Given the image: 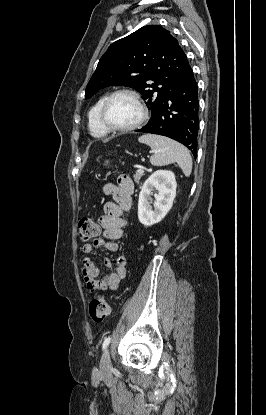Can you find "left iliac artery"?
<instances>
[{
  "instance_id": "left-iliac-artery-1",
  "label": "left iliac artery",
  "mask_w": 266,
  "mask_h": 415,
  "mask_svg": "<svg viewBox=\"0 0 266 415\" xmlns=\"http://www.w3.org/2000/svg\"><path fill=\"white\" fill-rule=\"evenodd\" d=\"M110 341H111V337L105 338V340L103 342V345H102V350H105L107 348V346L109 345Z\"/></svg>"
}]
</instances>
